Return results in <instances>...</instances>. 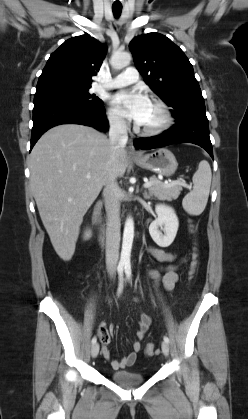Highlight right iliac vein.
Returning <instances> with one entry per match:
<instances>
[{"label":"right iliac vein","mask_w":248,"mask_h":419,"mask_svg":"<svg viewBox=\"0 0 248 419\" xmlns=\"http://www.w3.org/2000/svg\"><path fill=\"white\" fill-rule=\"evenodd\" d=\"M98 353H99V344L95 343V344L92 345L91 355H92L93 358H95V357H97Z\"/></svg>","instance_id":"63e3f726"}]
</instances>
